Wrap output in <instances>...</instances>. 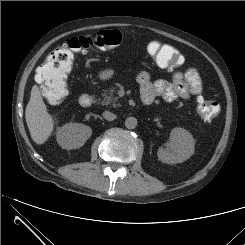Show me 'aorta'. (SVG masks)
<instances>
[{
  "mask_svg": "<svg viewBox=\"0 0 245 245\" xmlns=\"http://www.w3.org/2000/svg\"><path fill=\"white\" fill-rule=\"evenodd\" d=\"M137 124H138V122H137V119L135 117H128L125 120V127L128 129L136 128Z\"/></svg>",
  "mask_w": 245,
  "mask_h": 245,
  "instance_id": "aorta-1",
  "label": "aorta"
}]
</instances>
